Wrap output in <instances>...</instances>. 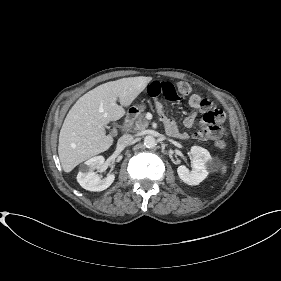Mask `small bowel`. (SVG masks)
<instances>
[{
    "label": "small bowel",
    "instance_id": "c3829d8e",
    "mask_svg": "<svg viewBox=\"0 0 281 281\" xmlns=\"http://www.w3.org/2000/svg\"><path fill=\"white\" fill-rule=\"evenodd\" d=\"M187 104L191 108H193L195 110H198V111H203V110H207L208 112L213 111L212 110L213 103L209 99L204 98V97H202L198 94L191 95L187 100ZM156 109H157V112L159 113V115L163 119L165 130H166L167 134L172 136V137H176V138H179V139H188L189 137L201 138L200 133L207 129L206 122L204 121L200 124V130L199 131L193 132L192 134H188L186 132H180L177 128L176 123L172 119L168 118L165 115V108H164V104L162 102H160V101L156 102ZM195 117H196V112L187 116L184 119L185 127L192 128L194 126V123H195ZM217 136H218L217 133H214V134L211 133L207 137L214 138V137H217Z\"/></svg>",
    "mask_w": 281,
    "mask_h": 281
}]
</instances>
